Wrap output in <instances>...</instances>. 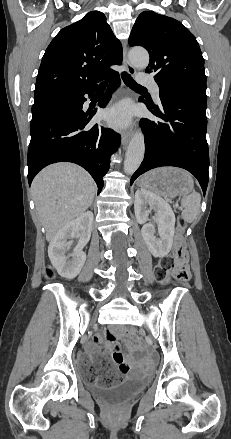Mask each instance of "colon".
<instances>
[{
  "label": "colon",
  "mask_w": 231,
  "mask_h": 439,
  "mask_svg": "<svg viewBox=\"0 0 231 439\" xmlns=\"http://www.w3.org/2000/svg\"><path fill=\"white\" fill-rule=\"evenodd\" d=\"M186 222L183 218L178 220V226L175 237V249L170 255L163 257L156 268V277L160 281L169 282L171 276L181 282L188 281L190 273L187 268V251L184 243V231ZM47 277L51 278L53 272L50 268L45 271ZM124 331L128 334H133L131 328H125ZM129 368L126 365H119L117 368H112L107 371V374L99 379L102 385H111L116 383L120 377L128 372Z\"/></svg>",
  "instance_id": "obj_1"
}]
</instances>
